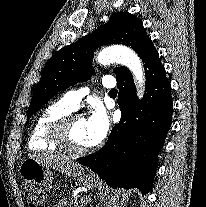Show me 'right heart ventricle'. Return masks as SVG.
<instances>
[{"label": "right heart ventricle", "instance_id": "right-heart-ventricle-1", "mask_svg": "<svg viewBox=\"0 0 206 207\" xmlns=\"http://www.w3.org/2000/svg\"><path fill=\"white\" fill-rule=\"evenodd\" d=\"M63 99L51 102L37 116L28 138V147L32 151L58 152L59 149L50 141L48 129L61 116L71 113Z\"/></svg>", "mask_w": 206, "mask_h": 207}]
</instances>
